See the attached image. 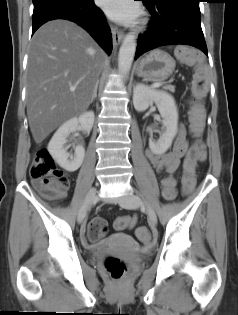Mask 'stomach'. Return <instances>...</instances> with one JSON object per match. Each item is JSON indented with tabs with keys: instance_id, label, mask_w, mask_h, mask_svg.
Here are the masks:
<instances>
[{
	"instance_id": "obj_1",
	"label": "stomach",
	"mask_w": 238,
	"mask_h": 315,
	"mask_svg": "<svg viewBox=\"0 0 238 315\" xmlns=\"http://www.w3.org/2000/svg\"><path fill=\"white\" fill-rule=\"evenodd\" d=\"M174 69L175 60L171 55L155 49L139 61L136 73L139 77L163 79L169 77Z\"/></svg>"
}]
</instances>
